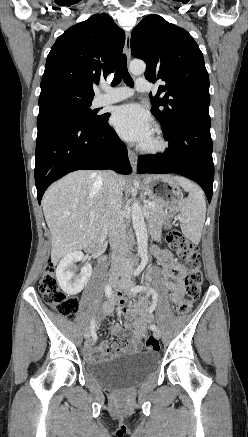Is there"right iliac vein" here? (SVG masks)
I'll return each mask as SVG.
<instances>
[{
  "label": "right iliac vein",
  "mask_w": 248,
  "mask_h": 437,
  "mask_svg": "<svg viewBox=\"0 0 248 437\" xmlns=\"http://www.w3.org/2000/svg\"><path fill=\"white\" fill-rule=\"evenodd\" d=\"M117 279H118V277H117L116 275H111V276H110V278H109V283H110V285H111L112 287H115V286H116V284H117ZM84 337H85L86 339H88V338L90 337V331H89V330H86V331H85V333H84Z\"/></svg>",
  "instance_id": "1"
}]
</instances>
